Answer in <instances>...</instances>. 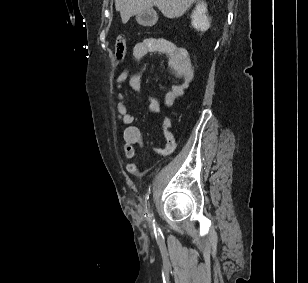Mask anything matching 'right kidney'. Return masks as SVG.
Returning <instances> with one entry per match:
<instances>
[{"instance_id": "obj_1", "label": "right kidney", "mask_w": 308, "mask_h": 283, "mask_svg": "<svg viewBox=\"0 0 308 283\" xmlns=\"http://www.w3.org/2000/svg\"><path fill=\"white\" fill-rule=\"evenodd\" d=\"M191 24L197 30L205 32L209 29L210 23L207 17V4L199 2L191 15Z\"/></svg>"}]
</instances>
